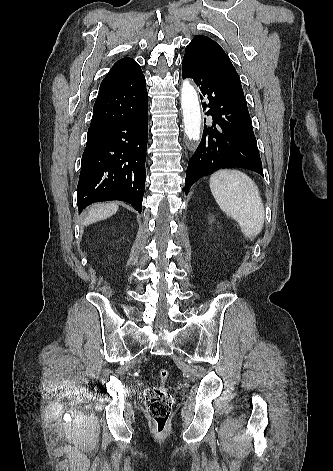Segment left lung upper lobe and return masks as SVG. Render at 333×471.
Here are the masks:
<instances>
[{"label":"left lung upper lobe","mask_w":333,"mask_h":471,"mask_svg":"<svg viewBox=\"0 0 333 471\" xmlns=\"http://www.w3.org/2000/svg\"><path fill=\"white\" fill-rule=\"evenodd\" d=\"M184 56L195 58L209 67L247 107L239 75L222 47L207 36L196 35L186 46Z\"/></svg>","instance_id":"1"}]
</instances>
